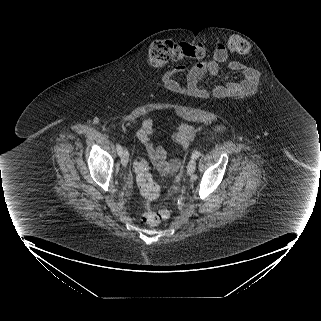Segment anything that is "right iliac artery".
Returning a JSON list of instances; mask_svg holds the SVG:
<instances>
[{
	"label": "right iliac artery",
	"mask_w": 321,
	"mask_h": 321,
	"mask_svg": "<svg viewBox=\"0 0 321 321\" xmlns=\"http://www.w3.org/2000/svg\"><path fill=\"white\" fill-rule=\"evenodd\" d=\"M116 149H117L118 155L121 156L123 149H122V147L120 146V144H116Z\"/></svg>",
	"instance_id": "obj_1"
}]
</instances>
